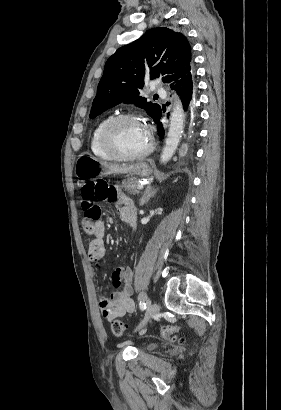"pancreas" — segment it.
Masks as SVG:
<instances>
[{
  "label": "pancreas",
  "instance_id": "obj_1",
  "mask_svg": "<svg viewBox=\"0 0 281 410\" xmlns=\"http://www.w3.org/2000/svg\"><path fill=\"white\" fill-rule=\"evenodd\" d=\"M139 182L136 178H128L122 181V187L129 194H139L140 191L137 189Z\"/></svg>",
  "mask_w": 281,
  "mask_h": 410
}]
</instances>
